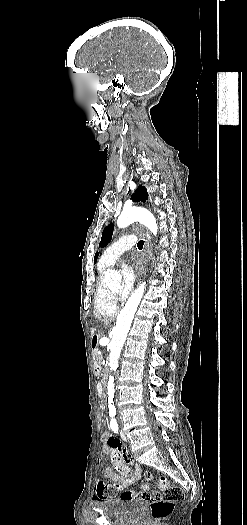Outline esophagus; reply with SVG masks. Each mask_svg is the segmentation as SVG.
Instances as JSON below:
<instances>
[{
	"label": "esophagus",
	"instance_id": "esophagus-1",
	"mask_svg": "<svg viewBox=\"0 0 247 525\" xmlns=\"http://www.w3.org/2000/svg\"><path fill=\"white\" fill-rule=\"evenodd\" d=\"M150 245H151V238H150V234L148 231H146V243H145V247H144V253H145V258L144 260L141 262V265L143 267H146L148 265V260L151 256V249H150ZM139 278V277H138Z\"/></svg>",
	"mask_w": 247,
	"mask_h": 525
}]
</instances>
